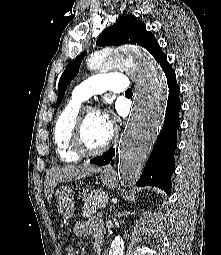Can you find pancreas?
Listing matches in <instances>:
<instances>
[{"instance_id": "cf45deb5", "label": "pancreas", "mask_w": 221, "mask_h": 255, "mask_svg": "<svg viewBox=\"0 0 221 255\" xmlns=\"http://www.w3.org/2000/svg\"><path fill=\"white\" fill-rule=\"evenodd\" d=\"M108 194L103 190H94L83 198L82 215L88 218L99 210L101 203L108 199Z\"/></svg>"}]
</instances>
